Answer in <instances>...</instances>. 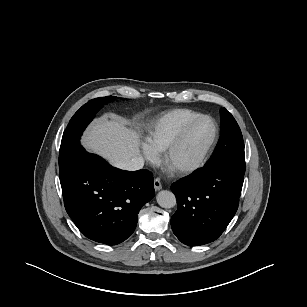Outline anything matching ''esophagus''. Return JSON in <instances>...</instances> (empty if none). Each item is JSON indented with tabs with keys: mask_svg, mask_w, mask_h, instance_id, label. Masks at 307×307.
I'll return each instance as SVG.
<instances>
[{
	"mask_svg": "<svg viewBox=\"0 0 307 307\" xmlns=\"http://www.w3.org/2000/svg\"><path fill=\"white\" fill-rule=\"evenodd\" d=\"M154 189L155 191H159L160 189H162L161 181L159 178L154 179Z\"/></svg>",
	"mask_w": 307,
	"mask_h": 307,
	"instance_id": "obj_1",
	"label": "esophagus"
}]
</instances>
